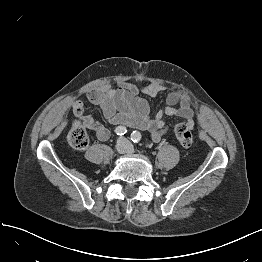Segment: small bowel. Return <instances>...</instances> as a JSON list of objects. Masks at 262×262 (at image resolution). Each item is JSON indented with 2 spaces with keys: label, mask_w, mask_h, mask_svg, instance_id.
<instances>
[{
  "label": "small bowel",
  "mask_w": 262,
  "mask_h": 262,
  "mask_svg": "<svg viewBox=\"0 0 262 262\" xmlns=\"http://www.w3.org/2000/svg\"><path fill=\"white\" fill-rule=\"evenodd\" d=\"M159 84L145 82L137 85L132 82H122L118 88L104 84L97 89L87 93V99L91 104L102 107L106 121L117 127H132L147 130L151 139L159 142L167 133L169 125L165 117L174 116L181 118L193 127L197 112L192 101L185 93L176 91L167 97V106L156 114H152L150 100L155 99L162 91ZM141 90L148 99L138 95ZM74 116L81 119L85 126L93 131L99 141L109 139V130L97 119L90 116L80 100L72 103Z\"/></svg>",
  "instance_id": "c3829d8e"
}]
</instances>
